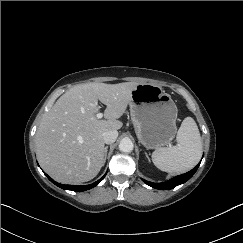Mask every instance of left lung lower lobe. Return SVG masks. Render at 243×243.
Here are the masks:
<instances>
[{
	"label": "left lung lower lobe",
	"mask_w": 243,
	"mask_h": 243,
	"mask_svg": "<svg viewBox=\"0 0 243 243\" xmlns=\"http://www.w3.org/2000/svg\"><path fill=\"white\" fill-rule=\"evenodd\" d=\"M200 163L194 167L191 171L182 174V175H178L166 182L163 183H153V182H149L146 181L144 179H142L147 185L156 188V189H160V190H170L173 189L174 187L185 183L186 181H188L193 175L194 173L197 171L198 167H199Z\"/></svg>",
	"instance_id": "left-lung-lower-lobe-1"
}]
</instances>
